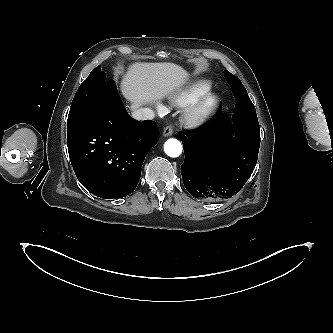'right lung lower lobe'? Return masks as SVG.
<instances>
[{"instance_id":"right-lung-lower-lobe-1","label":"right lung lower lobe","mask_w":333,"mask_h":333,"mask_svg":"<svg viewBox=\"0 0 333 333\" xmlns=\"http://www.w3.org/2000/svg\"><path fill=\"white\" fill-rule=\"evenodd\" d=\"M157 141L155 122L129 116L113 81L92 112L67 128L68 152L78 180L105 199L134 191L143 161Z\"/></svg>"}]
</instances>
